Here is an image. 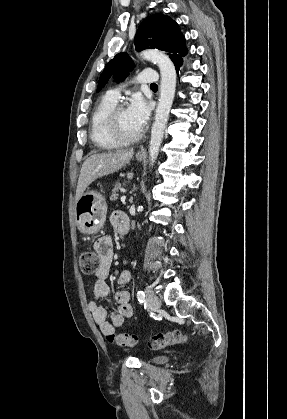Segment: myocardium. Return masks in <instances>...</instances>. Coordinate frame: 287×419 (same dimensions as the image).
<instances>
[{
    "label": "myocardium",
    "mask_w": 287,
    "mask_h": 419,
    "mask_svg": "<svg viewBox=\"0 0 287 419\" xmlns=\"http://www.w3.org/2000/svg\"><path fill=\"white\" fill-rule=\"evenodd\" d=\"M123 108V105L117 104L110 110L106 118L107 131L119 144H130L137 142L141 138V133L133 136H127L120 129L118 114L119 111Z\"/></svg>",
    "instance_id": "f54148a6"
}]
</instances>
